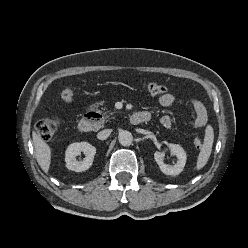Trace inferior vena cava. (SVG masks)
<instances>
[{
	"label": "inferior vena cava",
	"instance_id": "obj_1",
	"mask_svg": "<svg viewBox=\"0 0 248 248\" xmlns=\"http://www.w3.org/2000/svg\"><path fill=\"white\" fill-rule=\"evenodd\" d=\"M112 130L111 129H105V130H102L100 131L98 134H97V138L99 140H105L109 137V135L111 134Z\"/></svg>",
	"mask_w": 248,
	"mask_h": 248
}]
</instances>
